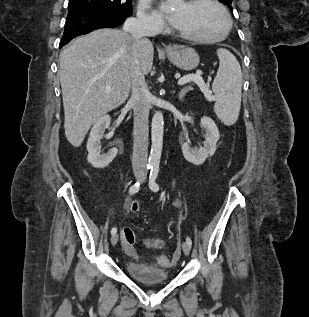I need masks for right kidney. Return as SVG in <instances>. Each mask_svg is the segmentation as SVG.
<instances>
[{
  "label": "right kidney",
  "mask_w": 309,
  "mask_h": 317,
  "mask_svg": "<svg viewBox=\"0 0 309 317\" xmlns=\"http://www.w3.org/2000/svg\"><path fill=\"white\" fill-rule=\"evenodd\" d=\"M110 122V117L104 115L97 120L91 129L87 141V160L94 168L102 169L107 167L118 153L117 148H112L106 154H100V140L103 137L105 129L109 128Z\"/></svg>",
  "instance_id": "ca27d5eb"
}]
</instances>
